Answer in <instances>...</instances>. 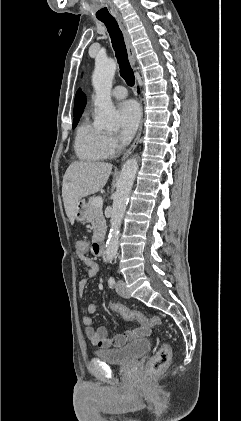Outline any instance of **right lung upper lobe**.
I'll list each match as a JSON object with an SVG mask.
<instances>
[{
  "label": "right lung upper lobe",
  "instance_id": "1",
  "mask_svg": "<svg viewBox=\"0 0 241 421\" xmlns=\"http://www.w3.org/2000/svg\"><path fill=\"white\" fill-rule=\"evenodd\" d=\"M86 105V96L85 94L79 89L75 96V104H74V118L81 117L83 109Z\"/></svg>",
  "mask_w": 241,
  "mask_h": 421
}]
</instances>
